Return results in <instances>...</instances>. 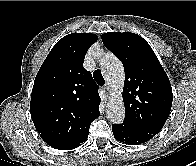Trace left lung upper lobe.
<instances>
[{
  "mask_svg": "<svg viewBox=\"0 0 196 166\" xmlns=\"http://www.w3.org/2000/svg\"><path fill=\"white\" fill-rule=\"evenodd\" d=\"M103 44L123 63L125 82L123 124L156 135L172 106V88L150 45L135 33H104Z\"/></svg>",
  "mask_w": 196,
  "mask_h": 166,
  "instance_id": "5c2ea615",
  "label": "left lung upper lobe"
}]
</instances>
